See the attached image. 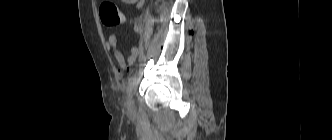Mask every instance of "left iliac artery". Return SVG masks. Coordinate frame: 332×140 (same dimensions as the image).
<instances>
[{"mask_svg":"<svg viewBox=\"0 0 332 140\" xmlns=\"http://www.w3.org/2000/svg\"><path fill=\"white\" fill-rule=\"evenodd\" d=\"M134 80H135V75H131V76L128 78V83H127V94H129V95H130V93H131L132 90H133Z\"/></svg>","mask_w":332,"mask_h":140,"instance_id":"44dca946","label":"left iliac artery"}]
</instances>
